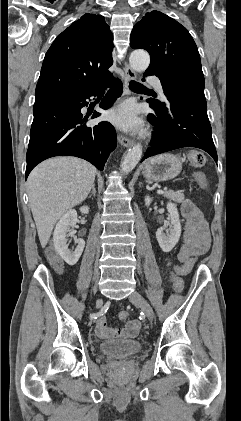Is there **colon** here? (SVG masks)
<instances>
[{"label":"colon","mask_w":241,"mask_h":421,"mask_svg":"<svg viewBox=\"0 0 241 421\" xmlns=\"http://www.w3.org/2000/svg\"><path fill=\"white\" fill-rule=\"evenodd\" d=\"M48 3H54L55 0H46ZM188 162L192 167L198 168L204 166L206 158L203 153L200 151H191L188 154ZM196 181L201 187L206 186V179L202 172H195L194 174ZM48 258L51 264L57 268H61V261L59 257L54 253V251L48 252ZM196 262V257L190 258L186 261H182L179 265H169L171 279L176 291H181L183 289L184 283L182 276L189 273ZM119 318L122 321L129 320V313L127 311H121L119 313Z\"/></svg>","instance_id":"colon-1"}]
</instances>
